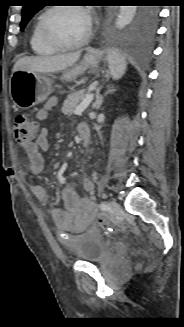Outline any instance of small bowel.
<instances>
[{
    "label": "small bowel",
    "instance_id": "c3829d8e",
    "mask_svg": "<svg viewBox=\"0 0 184 327\" xmlns=\"http://www.w3.org/2000/svg\"><path fill=\"white\" fill-rule=\"evenodd\" d=\"M57 104L55 98L49 99L43 108L37 111L36 119L43 121L50 115L52 108ZM80 125L78 127V130ZM49 131L42 128L35 141L25 147V153L30 164V171L34 175L42 173L45 160L44 152L49 148ZM83 190L92 195L94 193V183L90 179L82 181ZM31 191L36 199L43 205L49 202V195L46 189L39 185L33 184ZM63 208H52L51 215L55 225L62 231L71 233H80L85 231L94 220L97 210L94 202L90 198L82 197L73 185H66L62 190Z\"/></svg>",
    "mask_w": 184,
    "mask_h": 327
}]
</instances>
